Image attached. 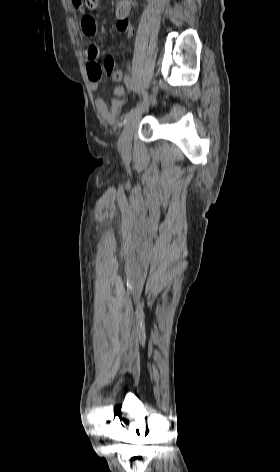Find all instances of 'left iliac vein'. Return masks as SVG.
Here are the masks:
<instances>
[{"label":"left iliac vein","instance_id":"4c4485c4","mask_svg":"<svg viewBox=\"0 0 280 472\" xmlns=\"http://www.w3.org/2000/svg\"><path fill=\"white\" fill-rule=\"evenodd\" d=\"M142 112L143 110L138 111L127 119L118 141V148L120 151L127 153L131 150L133 135L140 122Z\"/></svg>","mask_w":280,"mask_h":472}]
</instances>
